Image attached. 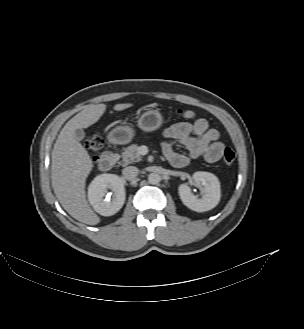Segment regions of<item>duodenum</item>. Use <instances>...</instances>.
<instances>
[{
	"label": "duodenum",
	"instance_id": "obj_1",
	"mask_svg": "<svg viewBox=\"0 0 304 329\" xmlns=\"http://www.w3.org/2000/svg\"><path fill=\"white\" fill-rule=\"evenodd\" d=\"M117 161V156L111 152H104L99 159V168L102 171L110 170Z\"/></svg>",
	"mask_w": 304,
	"mask_h": 329
}]
</instances>
